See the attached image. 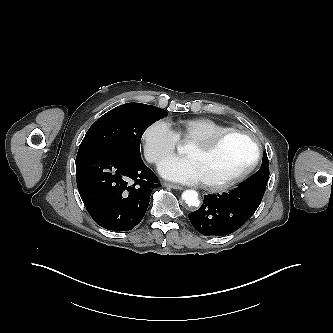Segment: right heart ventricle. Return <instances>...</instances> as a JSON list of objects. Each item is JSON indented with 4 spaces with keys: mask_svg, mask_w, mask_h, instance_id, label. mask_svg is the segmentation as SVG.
<instances>
[{
    "mask_svg": "<svg viewBox=\"0 0 333 333\" xmlns=\"http://www.w3.org/2000/svg\"><path fill=\"white\" fill-rule=\"evenodd\" d=\"M174 127L178 139L186 142L208 138L230 129L209 118L181 119L174 123Z\"/></svg>",
    "mask_w": 333,
    "mask_h": 333,
    "instance_id": "right-heart-ventricle-1",
    "label": "right heart ventricle"
}]
</instances>
